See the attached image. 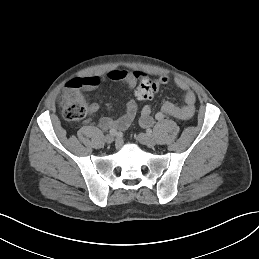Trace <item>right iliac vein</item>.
Wrapping results in <instances>:
<instances>
[{
	"label": "right iliac vein",
	"instance_id": "right-iliac-vein-1",
	"mask_svg": "<svg viewBox=\"0 0 259 259\" xmlns=\"http://www.w3.org/2000/svg\"><path fill=\"white\" fill-rule=\"evenodd\" d=\"M113 141H114L113 135L108 134V135L105 136V142H106L107 144H111Z\"/></svg>",
	"mask_w": 259,
	"mask_h": 259
}]
</instances>
